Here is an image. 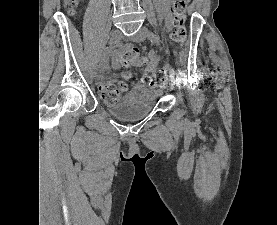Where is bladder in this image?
<instances>
[{
	"label": "bladder",
	"instance_id": "obj_1",
	"mask_svg": "<svg viewBox=\"0 0 277 225\" xmlns=\"http://www.w3.org/2000/svg\"><path fill=\"white\" fill-rule=\"evenodd\" d=\"M159 92L151 89H135L128 91L120 100L107 103L108 112L114 117L136 121L149 115L156 106Z\"/></svg>",
	"mask_w": 277,
	"mask_h": 225
}]
</instances>
